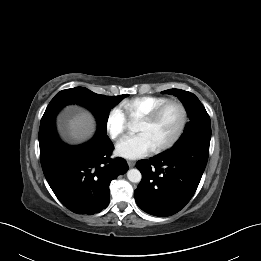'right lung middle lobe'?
<instances>
[{
    "instance_id": "1",
    "label": "right lung middle lobe",
    "mask_w": 261,
    "mask_h": 261,
    "mask_svg": "<svg viewBox=\"0 0 261 261\" xmlns=\"http://www.w3.org/2000/svg\"><path fill=\"white\" fill-rule=\"evenodd\" d=\"M128 95H99L87 88L76 87L62 90L51 100L41 119V123L55 119L57 113L68 104H79L89 109L97 119L98 130L106 133L110 110Z\"/></svg>"
}]
</instances>
